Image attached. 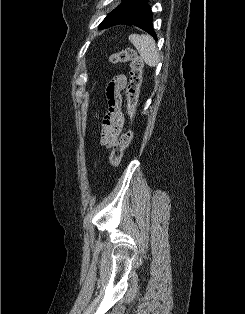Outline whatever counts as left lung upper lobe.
<instances>
[{
	"label": "left lung upper lobe",
	"mask_w": 245,
	"mask_h": 314,
	"mask_svg": "<svg viewBox=\"0 0 245 314\" xmlns=\"http://www.w3.org/2000/svg\"><path fill=\"white\" fill-rule=\"evenodd\" d=\"M147 0H123L100 23V28H107L118 24H128L143 8Z\"/></svg>",
	"instance_id": "left-lung-upper-lobe-1"
}]
</instances>
